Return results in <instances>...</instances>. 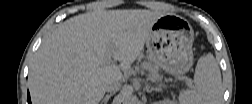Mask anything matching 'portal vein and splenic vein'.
<instances>
[{"label":"portal vein and splenic vein","instance_id":"portal-vein-and-splenic-vein-1","mask_svg":"<svg viewBox=\"0 0 252 104\" xmlns=\"http://www.w3.org/2000/svg\"><path fill=\"white\" fill-rule=\"evenodd\" d=\"M105 61H106V63H108V64L112 62L111 54L108 53V54L106 55ZM186 80H187V84H188L189 86L192 85V80H191L190 78H187Z\"/></svg>","mask_w":252,"mask_h":104}]
</instances>
